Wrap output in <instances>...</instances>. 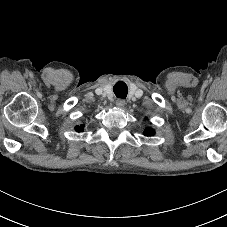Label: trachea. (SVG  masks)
Returning a JSON list of instances; mask_svg holds the SVG:
<instances>
[{
    "instance_id": "1",
    "label": "trachea",
    "mask_w": 227,
    "mask_h": 227,
    "mask_svg": "<svg viewBox=\"0 0 227 227\" xmlns=\"http://www.w3.org/2000/svg\"><path fill=\"white\" fill-rule=\"evenodd\" d=\"M113 91L118 98H126L128 93L127 85L124 82H118L114 87Z\"/></svg>"
}]
</instances>
